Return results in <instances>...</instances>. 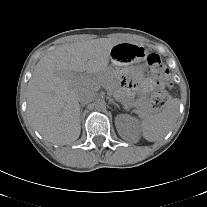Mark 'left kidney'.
I'll use <instances>...</instances> for the list:
<instances>
[{
	"instance_id": "5707ae66",
	"label": "left kidney",
	"mask_w": 207,
	"mask_h": 207,
	"mask_svg": "<svg viewBox=\"0 0 207 207\" xmlns=\"http://www.w3.org/2000/svg\"><path fill=\"white\" fill-rule=\"evenodd\" d=\"M115 122L122 138L126 140H136L138 138V123L135 118L120 114L116 117Z\"/></svg>"
}]
</instances>
